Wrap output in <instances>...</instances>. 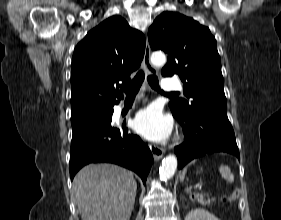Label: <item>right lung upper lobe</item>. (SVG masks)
<instances>
[{
	"mask_svg": "<svg viewBox=\"0 0 281 220\" xmlns=\"http://www.w3.org/2000/svg\"><path fill=\"white\" fill-rule=\"evenodd\" d=\"M144 52V35L120 16L89 31L73 53L71 119L99 114L118 103L123 98L118 87L130 81Z\"/></svg>",
	"mask_w": 281,
	"mask_h": 220,
	"instance_id": "obj_1",
	"label": "right lung upper lobe"
}]
</instances>
